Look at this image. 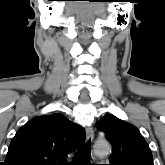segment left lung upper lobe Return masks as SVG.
<instances>
[{"instance_id": "left-lung-upper-lobe-1", "label": "left lung upper lobe", "mask_w": 165, "mask_h": 165, "mask_svg": "<svg viewBox=\"0 0 165 165\" xmlns=\"http://www.w3.org/2000/svg\"><path fill=\"white\" fill-rule=\"evenodd\" d=\"M98 128L112 145L109 165H153L151 150L136 127L114 115H105Z\"/></svg>"}]
</instances>
